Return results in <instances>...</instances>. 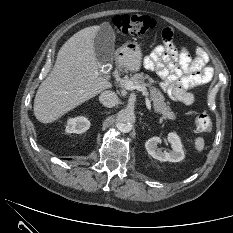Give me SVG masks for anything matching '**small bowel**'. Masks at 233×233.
Segmentation results:
<instances>
[{
    "label": "small bowel",
    "instance_id": "c3829d8e",
    "mask_svg": "<svg viewBox=\"0 0 233 233\" xmlns=\"http://www.w3.org/2000/svg\"><path fill=\"white\" fill-rule=\"evenodd\" d=\"M163 44L157 46L145 58L144 64L162 80L161 89L175 101L191 105L195 96L189 89L208 83L213 77V69L208 64V55L196 48L192 57L186 48H177L173 42V32L163 30Z\"/></svg>",
    "mask_w": 233,
    "mask_h": 233
}]
</instances>
